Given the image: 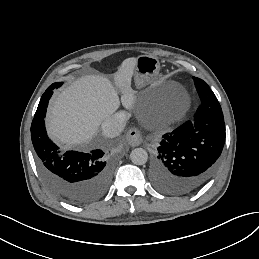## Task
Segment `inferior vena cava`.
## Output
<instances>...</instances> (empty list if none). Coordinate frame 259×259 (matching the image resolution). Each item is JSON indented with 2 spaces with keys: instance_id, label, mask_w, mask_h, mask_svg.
Listing matches in <instances>:
<instances>
[{
  "instance_id": "1",
  "label": "inferior vena cava",
  "mask_w": 259,
  "mask_h": 259,
  "mask_svg": "<svg viewBox=\"0 0 259 259\" xmlns=\"http://www.w3.org/2000/svg\"><path fill=\"white\" fill-rule=\"evenodd\" d=\"M126 116L124 113H115L108 116L102 124L103 132L108 137L119 135L125 126Z\"/></svg>"
}]
</instances>
